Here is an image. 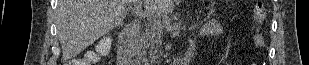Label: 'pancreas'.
Listing matches in <instances>:
<instances>
[{
  "instance_id": "obj_1",
  "label": "pancreas",
  "mask_w": 309,
  "mask_h": 65,
  "mask_svg": "<svg viewBox=\"0 0 309 65\" xmlns=\"http://www.w3.org/2000/svg\"><path fill=\"white\" fill-rule=\"evenodd\" d=\"M162 30L163 29H157L153 25H150V27L137 38L136 51L143 55L149 53L151 59L154 55H157L162 45Z\"/></svg>"
}]
</instances>
